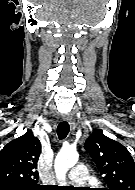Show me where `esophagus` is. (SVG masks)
Masks as SVG:
<instances>
[{"mask_svg": "<svg viewBox=\"0 0 135 190\" xmlns=\"http://www.w3.org/2000/svg\"><path fill=\"white\" fill-rule=\"evenodd\" d=\"M62 119L64 122H68L70 124V127L72 130L75 129V122H74L73 117L70 114H64Z\"/></svg>", "mask_w": 135, "mask_h": 190, "instance_id": "esophagus-1", "label": "esophagus"}]
</instances>
